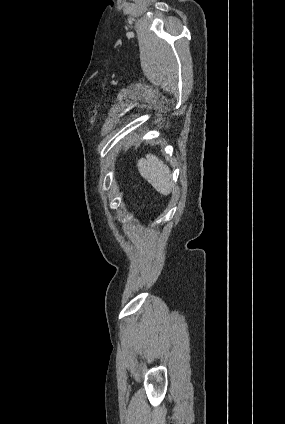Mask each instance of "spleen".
Returning a JSON list of instances; mask_svg holds the SVG:
<instances>
[{
	"mask_svg": "<svg viewBox=\"0 0 285 424\" xmlns=\"http://www.w3.org/2000/svg\"><path fill=\"white\" fill-rule=\"evenodd\" d=\"M141 176L146 179L156 191L162 195H169L173 188L169 167L152 154L137 163Z\"/></svg>",
	"mask_w": 285,
	"mask_h": 424,
	"instance_id": "1",
	"label": "spleen"
}]
</instances>
